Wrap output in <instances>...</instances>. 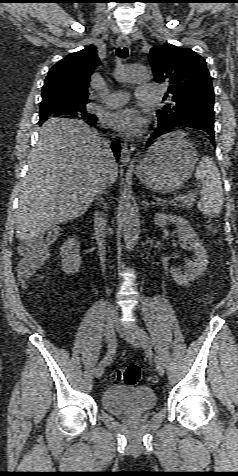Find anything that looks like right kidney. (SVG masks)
I'll return each mask as SVG.
<instances>
[{"instance_id":"1","label":"right kidney","mask_w":238,"mask_h":476,"mask_svg":"<svg viewBox=\"0 0 238 476\" xmlns=\"http://www.w3.org/2000/svg\"><path fill=\"white\" fill-rule=\"evenodd\" d=\"M60 250L62 270L67 275L76 274L81 266L80 244L74 238H68Z\"/></svg>"}]
</instances>
